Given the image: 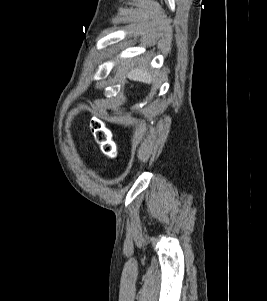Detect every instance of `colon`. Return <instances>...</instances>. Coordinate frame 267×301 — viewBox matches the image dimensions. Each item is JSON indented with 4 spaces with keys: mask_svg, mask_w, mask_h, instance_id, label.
<instances>
[{
    "mask_svg": "<svg viewBox=\"0 0 267 301\" xmlns=\"http://www.w3.org/2000/svg\"><path fill=\"white\" fill-rule=\"evenodd\" d=\"M90 127L101 151L108 157H115L117 155V144L111 130L99 119L92 120Z\"/></svg>",
    "mask_w": 267,
    "mask_h": 301,
    "instance_id": "colon-1",
    "label": "colon"
}]
</instances>
